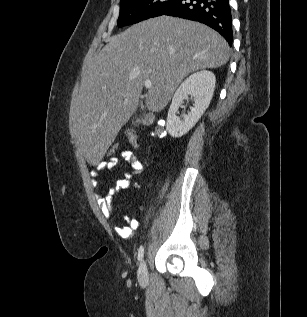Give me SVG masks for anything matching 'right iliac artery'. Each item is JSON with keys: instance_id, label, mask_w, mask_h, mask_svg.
Instances as JSON below:
<instances>
[{"instance_id": "82829eb1", "label": "right iliac artery", "mask_w": 307, "mask_h": 317, "mask_svg": "<svg viewBox=\"0 0 307 317\" xmlns=\"http://www.w3.org/2000/svg\"><path fill=\"white\" fill-rule=\"evenodd\" d=\"M144 256V246H140L138 250V260L141 261Z\"/></svg>"}]
</instances>
